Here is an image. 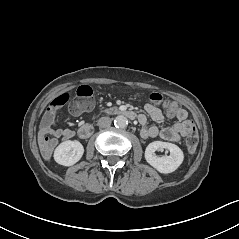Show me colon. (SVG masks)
Here are the masks:
<instances>
[{
    "instance_id": "colon-1",
    "label": "colon",
    "mask_w": 239,
    "mask_h": 239,
    "mask_svg": "<svg viewBox=\"0 0 239 239\" xmlns=\"http://www.w3.org/2000/svg\"><path fill=\"white\" fill-rule=\"evenodd\" d=\"M150 100L156 104H161L165 112L169 115L174 114L177 111V104L170 100H164L160 94L152 93L149 96ZM69 96L66 93L60 94L50 103L47 108L43 119L42 128H48L54 122L59 109L67 103ZM93 106V90L91 87L82 85L76 91V99L71 103L70 110L74 114L81 113L83 111L91 109ZM198 133L196 130H192L186 140L188 152L193 154L198 145Z\"/></svg>"
}]
</instances>
